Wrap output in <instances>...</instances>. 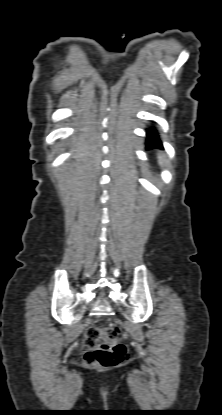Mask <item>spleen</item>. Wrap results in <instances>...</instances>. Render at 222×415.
Here are the masks:
<instances>
[{
  "label": "spleen",
  "instance_id": "3e777b00",
  "mask_svg": "<svg viewBox=\"0 0 222 415\" xmlns=\"http://www.w3.org/2000/svg\"><path fill=\"white\" fill-rule=\"evenodd\" d=\"M160 165H164V159L161 155L158 156Z\"/></svg>",
  "mask_w": 222,
  "mask_h": 415
}]
</instances>
